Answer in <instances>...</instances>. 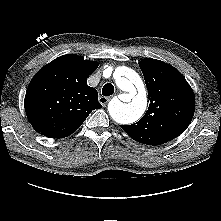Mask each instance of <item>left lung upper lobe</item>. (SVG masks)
Returning <instances> with one entry per match:
<instances>
[{"label":"left lung upper lobe","instance_id":"5c2ea615","mask_svg":"<svg viewBox=\"0 0 221 221\" xmlns=\"http://www.w3.org/2000/svg\"><path fill=\"white\" fill-rule=\"evenodd\" d=\"M150 100L146 114L136 123L121 126L135 141L161 145L179 136L190 124L195 111L194 92L173 66L156 59H143Z\"/></svg>","mask_w":221,"mask_h":221}]
</instances>
